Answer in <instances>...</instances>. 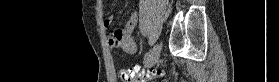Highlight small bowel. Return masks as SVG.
Segmentation results:
<instances>
[{
    "instance_id": "1",
    "label": "small bowel",
    "mask_w": 279,
    "mask_h": 82,
    "mask_svg": "<svg viewBox=\"0 0 279 82\" xmlns=\"http://www.w3.org/2000/svg\"><path fill=\"white\" fill-rule=\"evenodd\" d=\"M101 9L103 7L101 6ZM113 15H109L104 20V27L109 31L108 44L111 48L134 53L137 49V44L134 39V32L137 24L136 13L133 12L123 28L111 29Z\"/></svg>"
}]
</instances>
